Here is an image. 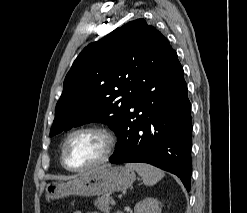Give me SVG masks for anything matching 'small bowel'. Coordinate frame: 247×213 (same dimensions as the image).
<instances>
[{
    "label": "small bowel",
    "instance_id": "small-bowel-1",
    "mask_svg": "<svg viewBox=\"0 0 247 213\" xmlns=\"http://www.w3.org/2000/svg\"><path fill=\"white\" fill-rule=\"evenodd\" d=\"M74 213H82L80 211H75ZM90 213H97V212H90Z\"/></svg>",
    "mask_w": 247,
    "mask_h": 213
}]
</instances>
